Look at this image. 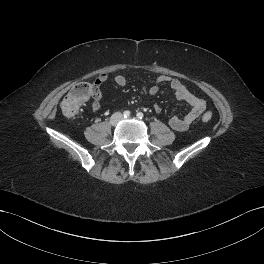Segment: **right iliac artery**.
<instances>
[{
	"label": "right iliac artery",
	"instance_id": "1",
	"mask_svg": "<svg viewBox=\"0 0 264 264\" xmlns=\"http://www.w3.org/2000/svg\"><path fill=\"white\" fill-rule=\"evenodd\" d=\"M123 116H124V118L129 117L130 116V111H128V110L124 111Z\"/></svg>",
	"mask_w": 264,
	"mask_h": 264
}]
</instances>
